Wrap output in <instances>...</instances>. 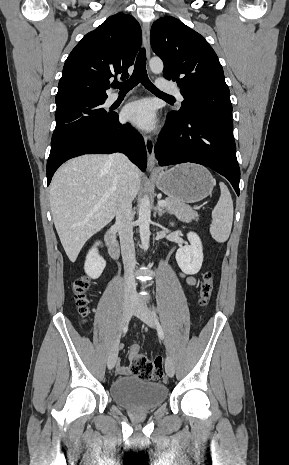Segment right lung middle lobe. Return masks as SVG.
Segmentation results:
<instances>
[{"label":"right lung middle lobe","mask_w":289,"mask_h":465,"mask_svg":"<svg viewBox=\"0 0 289 465\" xmlns=\"http://www.w3.org/2000/svg\"><path fill=\"white\" fill-rule=\"evenodd\" d=\"M104 100H76L57 104L55 113L56 127L51 144L71 133L99 124L106 123L113 116L102 107Z\"/></svg>","instance_id":"obj_1"}]
</instances>
